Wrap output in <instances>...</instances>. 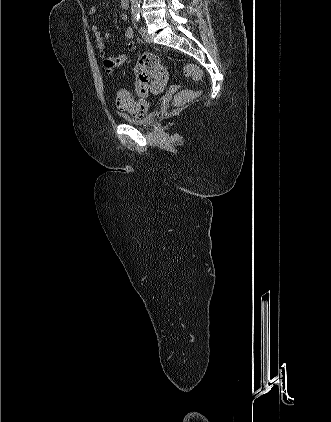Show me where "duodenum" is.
Returning a JSON list of instances; mask_svg holds the SVG:
<instances>
[{"label": "duodenum", "instance_id": "1", "mask_svg": "<svg viewBox=\"0 0 331 422\" xmlns=\"http://www.w3.org/2000/svg\"><path fill=\"white\" fill-rule=\"evenodd\" d=\"M121 2H122V5H123V8L129 7L130 0H121Z\"/></svg>", "mask_w": 331, "mask_h": 422}]
</instances>
